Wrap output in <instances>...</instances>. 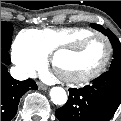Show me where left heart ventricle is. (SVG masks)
<instances>
[{
  "label": "left heart ventricle",
  "instance_id": "b2bd125f",
  "mask_svg": "<svg viewBox=\"0 0 121 121\" xmlns=\"http://www.w3.org/2000/svg\"><path fill=\"white\" fill-rule=\"evenodd\" d=\"M89 45L90 49H92V54L89 56V60L93 61L95 65H98L104 57L105 53L104 42L100 38H93L90 40ZM58 62L61 67L66 68L67 65H70L72 63V60L67 56V54H64L60 57ZM77 65L80 64L77 63Z\"/></svg>",
  "mask_w": 121,
  "mask_h": 121
}]
</instances>
